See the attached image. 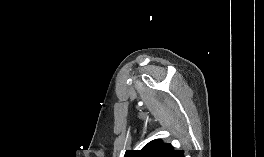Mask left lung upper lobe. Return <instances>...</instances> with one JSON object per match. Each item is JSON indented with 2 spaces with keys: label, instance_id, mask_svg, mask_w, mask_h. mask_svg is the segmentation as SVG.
<instances>
[{
  "label": "left lung upper lobe",
  "instance_id": "left-lung-upper-lobe-1",
  "mask_svg": "<svg viewBox=\"0 0 264 157\" xmlns=\"http://www.w3.org/2000/svg\"><path fill=\"white\" fill-rule=\"evenodd\" d=\"M124 157H184V151L174 149L171 144L156 139L141 150H127Z\"/></svg>",
  "mask_w": 264,
  "mask_h": 157
}]
</instances>
